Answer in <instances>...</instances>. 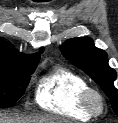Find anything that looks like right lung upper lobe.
<instances>
[{"label":"right lung upper lobe","instance_id":"obj_1","mask_svg":"<svg viewBox=\"0 0 118 123\" xmlns=\"http://www.w3.org/2000/svg\"><path fill=\"white\" fill-rule=\"evenodd\" d=\"M43 52V48L40 49ZM40 54L27 56L0 40V62L15 64L24 69H35L39 63Z\"/></svg>","mask_w":118,"mask_h":123}]
</instances>
